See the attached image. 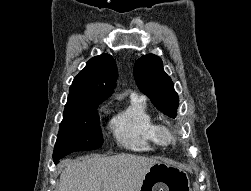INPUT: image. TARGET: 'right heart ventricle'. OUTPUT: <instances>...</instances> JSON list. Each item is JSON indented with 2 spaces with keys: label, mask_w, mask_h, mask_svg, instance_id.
<instances>
[{
  "label": "right heart ventricle",
  "mask_w": 251,
  "mask_h": 191,
  "mask_svg": "<svg viewBox=\"0 0 251 191\" xmlns=\"http://www.w3.org/2000/svg\"><path fill=\"white\" fill-rule=\"evenodd\" d=\"M155 121L146 100L132 96L127 107L111 122L116 144L121 149L139 154L157 153L159 149L153 139Z\"/></svg>",
  "instance_id": "1"
}]
</instances>
